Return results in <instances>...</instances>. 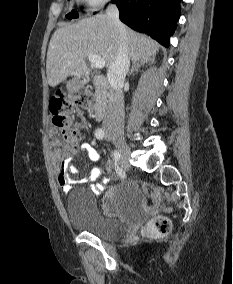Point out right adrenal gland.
<instances>
[{
	"label": "right adrenal gland",
	"mask_w": 233,
	"mask_h": 284,
	"mask_svg": "<svg viewBox=\"0 0 233 284\" xmlns=\"http://www.w3.org/2000/svg\"><path fill=\"white\" fill-rule=\"evenodd\" d=\"M139 67H140V64L138 62L134 61L132 68L129 72V76L134 75V72L138 73Z\"/></svg>",
	"instance_id": "right-adrenal-gland-1"
}]
</instances>
